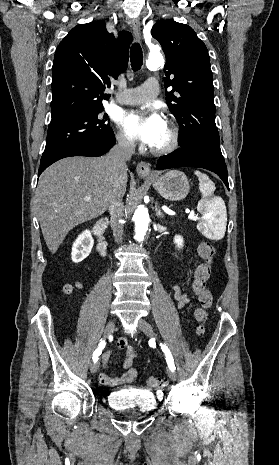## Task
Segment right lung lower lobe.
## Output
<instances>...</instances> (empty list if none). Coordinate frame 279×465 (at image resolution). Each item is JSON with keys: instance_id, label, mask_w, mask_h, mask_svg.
I'll return each mask as SVG.
<instances>
[{"instance_id": "right-lung-lower-lobe-1", "label": "right lung lower lobe", "mask_w": 279, "mask_h": 465, "mask_svg": "<svg viewBox=\"0 0 279 465\" xmlns=\"http://www.w3.org/2000/svg\"><path fill=\"white\" fill-rule=\"evenodd\" d=\"M115 137L113 136L109 140L95 143V142H80L75 145H72L61 152L55 154L50 159L42 162L38 174L40 175L48 166L54 162L69 156H90L96 157L101 156L104 153L108 152L110 148L115 144Z\"/></svg>"}]
</instances>
